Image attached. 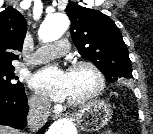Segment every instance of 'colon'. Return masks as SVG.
I'll return each mask as SVG.
<instances>
[{
	"mask_svg": "<svg viewBox=\"0 0 153 134\" xmlns=\"http://www.w3.org/2000/svg\"><path fill=\"white\" fill-rule=\"evenodd\" d=\"M103 134H112L111 132H105V133H103Z\"/></svg>",
	"mask_w": 153,
	"mask_h": 134,
	"instance_id": "obj_1",
	"label": "colon"
}]
</instances>
